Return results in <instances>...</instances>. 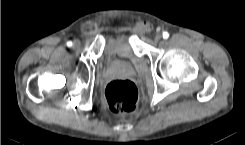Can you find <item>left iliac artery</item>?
Masks as SVG:
<instances>
[{
  "mask_svg": "<svg viewBox=\"0 0 245 145\" xmlns=\"http://www.w3.org/2000/svg\"><path fill=\"white\" fill-rule=\"evenodd\" d=\"M168 37H169L168 32H163V38H164V39H167Z\"/></svg>",
  "mask_w": 245,
  "mask_h": 145,
  "instance_id": "left-iliac-artery-1",
  "label": "left iliac artery"
}]
</instances>
